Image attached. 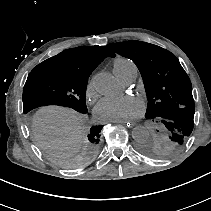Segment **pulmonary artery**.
I'll return each instance as SVG.
<instances>
[{
	"label": "pulmonary artery",
	"mask_w": 211,
	"mask_h": 211,
	"mask_svg": "<svg viewBox=\"0 0 211 211\" xmlns=\"http://www.w3.org/2000/svg\"><path fill=\"white\" fill-rule=\"evenodd\" d=\"M137 77V72H134L132 74H130L129 76H127L123 81L126 84H131Z\"/></svg>",
	"instance_id": "e3ab8cb5"
}]
</instances>
